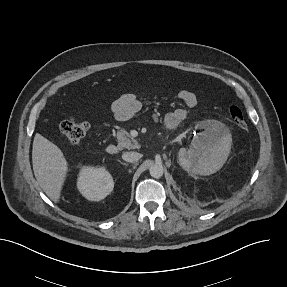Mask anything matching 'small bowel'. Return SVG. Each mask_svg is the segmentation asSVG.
<instances>
[{
  "mask_svg": "<svg viewBox=\"0 0 287 287\" xmlns=\"http://www.w3.org/2000/svg\"><path fill=\"white\" fill-rule=\"evenodd\" d=\"M178 97L187 107H194L197 104V96L194 92L183 89L179 91ZM141 109V97L135 93H125L121 95L112 106V111L117 119L126 121L134 116ZM187 116V111L183 108H176L169 111L164 119V124L168 129L176 128Z\"/></svg>",
  "mask_w": 287,
  "mask_h": 287,
  "instance_id": "c3829d8e",
  "label": "small bowel"
}]
</instances>
